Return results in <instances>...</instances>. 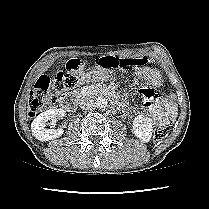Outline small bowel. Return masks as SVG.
Here are the masks:
<instances>
[{
	"mask_svg": "<svg viewBox=\"0 0 209 209\" xmlns=\"http://www.w3.org/2000/svg\"><path fill=\"white\" fill-rule=\"evenodd\" d=\"M136 74L147 81V86L141 90L142 105L141 111L149 115L156 125L167 124L173 119L177 112V107L172 95L157 96L155 89L162 85L163 78L161 73L155 68H136ZM109 70L100 68L93 74L82 70L80 81L87 84L92 80L105 81L109 77ZM155 99V101H153Z\"/></svg>",
	"mask_w": 209,
	"mask_h": 209,
	"instance_id": "small-bowel-1",
	"label": "small bowel"
}]
</instances>
